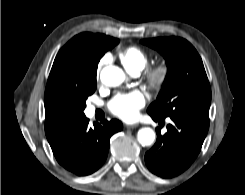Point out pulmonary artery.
I'll use <instances>...</instances> for the list:
<instances>
[{
    "mask_svg": "<svg viewBox=\"0 0 245 195\" xmlns=\"http://www.w3.org/2000/svg\"><path fill=\"white\" fill-rule=\"evenodd\" d=\"M138 74H139V73H137V72H136V73H133L134 76H137ZM89 109H90L91 112L94 111V107H92V106H91Z\"/></svg>",
    "mask_w": 245,
    "mask_h": 195,
    "instance_id": "1",
    "label": "pulmonary artery"
}]
</instances>
